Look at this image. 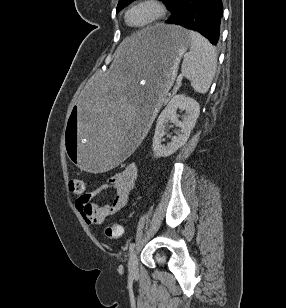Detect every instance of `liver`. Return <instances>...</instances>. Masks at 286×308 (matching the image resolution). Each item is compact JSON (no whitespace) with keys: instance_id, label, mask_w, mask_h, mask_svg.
Here are the masks:
<instances>
[{"instance_id":"liver-1","label":"liver","mask_w":286,"mask_h":308,"mask_svg":"<svg viewBox=\"0 0 286 308\" xmlns=\"http://www.w3.org/2000/svg\"><path fill=\"white\" fill-rule=\"evenodd\" d=\"M140 44V37L137 34H134L130 37H127L119 45L116 51L115 60L113 66L117 67L119 63L123 61H130L136 57V51Z\"/></svg>"}]
</instances>
